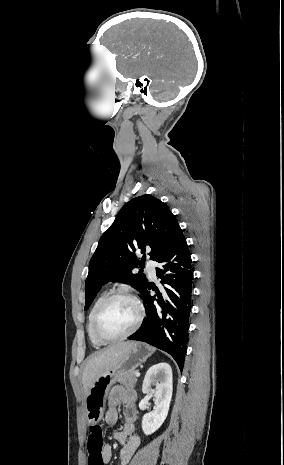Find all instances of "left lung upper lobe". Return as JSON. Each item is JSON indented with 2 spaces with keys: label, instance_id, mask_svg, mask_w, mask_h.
I'll list each match as a JSON object with an SVG mask.
<instances>
[{
  "label": "left lung upper lobe",
  "instance_id": "1",
  "mask_svg": "<svg viewBox=\"0 0 284 465\" xmlns=\"http://www.w3.org/2000/svg\"><path fill=\"white\" fill-rule=\"evenodd\" d=\"M179 227L167 205L151 195L127 202L101 237L90 260L85 309L109 281L130 284L142 292L147 284L146 276L140 272L133 274L132 270L144 266L145 257L139 261L135 252L150 251V259L156 261L169 247Z\"/></svg>",
  "mask_w": 284,
  "mask_h": 465
}]
</instances>
